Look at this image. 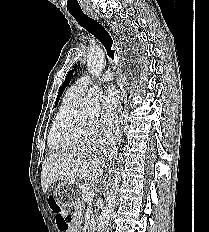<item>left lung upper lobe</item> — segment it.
Masks as SVG:
<instances>
[{"label": "left lung upper lobe", "instance_id": "left-lung-upper-lobe-1", "mask_svg": "<svg viewBox=\"0 0 209 232\" xmlns=\"http://www.w3.org/2000/svg\"><path fill=\"white\" fill-rule=\"evenodd\" d=\"M73 75V70L69 71V73L67 74L66 78H65V81L63 82L62 86L60 87L59 89V92H58V96H57V99H56V104H55V107L57 106V103L60 99V96L61 94L63 93L64 89L67 87V85L69 84V81L71 79Z\"/></svg>", "mask_w": 209, "mask_h": 232}]
</instances>
